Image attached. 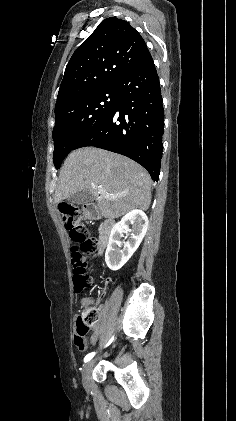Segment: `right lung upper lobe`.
<instances>
[{
    "label": "right lung upper lobe",
    "mask_w": 236,
    "mask_h": 421,
    "mask_svg": "<svg viewBox=\"0 0 236 421\" xmlns=\"http://www.w3.org/2000/svg\"><path fill=\"white\" fill-rule=\"evenodd\" d=\"M150 58L145 41L127 21L103 20L67 64L55 109L77 96L116 87Z\"/></svg>",
    "instance_id": "1"
}]
</instances>
